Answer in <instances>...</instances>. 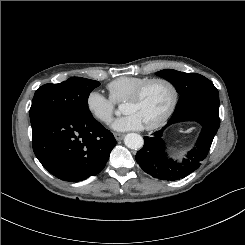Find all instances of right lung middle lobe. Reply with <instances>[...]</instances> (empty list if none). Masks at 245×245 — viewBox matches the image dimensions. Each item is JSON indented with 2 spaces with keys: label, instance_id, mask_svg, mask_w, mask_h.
<instances>
[{
  "label": "right lung middle lobe",
  "instance_id": "right-lung-middle-lobe-1",
  "mask_svg": "<svg viewBox=\"0 0 245 245\" xmlns=\"http://www.w3.org/2000/svg\"><path fill=\"white\" fill-rule=\"evenodd\" d=\"M100 83L82 77H71L59 84L41 86L33 97L30 120L44 114H56L68 119L92 117L88 97Z\"/></svg>",
  "mask_w": 245,
  "mask_h": 245
}]
</instances>
